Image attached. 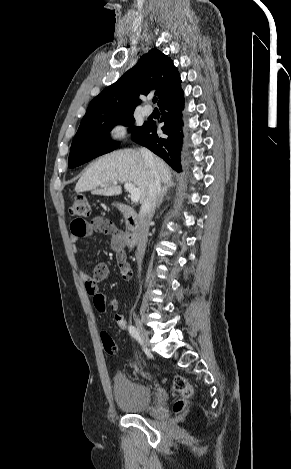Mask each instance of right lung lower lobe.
Masks as SVG:
<instances>
[{"mask_svg":"<svg viewBox=\"0 0 291 469\" xmlns=\"http://www.w3.org/2000/svg\"><path fill=\"white\" fill-rule=\"evenodd\" d=\"M159 107L162 113L160 122L164 123L161 129L164 134L159 136L156 133V122L148 121L139 130L133 132L132 139L150 149L173 169L180 172V150L183 138L182 110L184 109L182 89L163 100Z\"/></svg>","mask_w":291,"mask_h":469,"instance_id":"obj_1","label":"right lung lower lobe"}]
</instances>
